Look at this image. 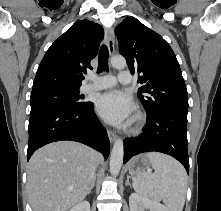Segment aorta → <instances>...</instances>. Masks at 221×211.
I'll use <instances>...</instances> for the list:
<instances>
[{"label":"aorta","instance_id":"obj_1","mask_svg":"<svg viewBox=\"0 0 221 211\" xmlns=\"http://www.w3.org/2000/svg\"><path fill=\"white\" fill-rule=\"evenodd\" d=\"M111 65L116 69H124L126 67V60L121 57H112ZM124 156V143L123 140L118 138L112 148L110 157V173L112 176H116L121 169Z\"/></svg>","mask_w":221,"mask_h":211}]
</instances>
